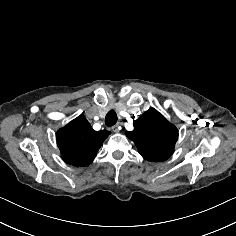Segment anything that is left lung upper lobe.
<instances>
[{
  "label": "left lung upper lobe",
  "instance_id": "1",
  "mask_svg": "<svg viewBox=\"0 0 236 236\" xmlns=\"http://www.w3.org/2000/svg\"><path fill=\"white\" fill-rule=\"evenodd\" d=\"M125 134L135 143L140 154L153 162L167 160L178 139L177 128L154 108H149L135 120L134 130Z\"/></svg>",
  "mask_w": 236,
  "mask_h": 236
}]
</instances>
